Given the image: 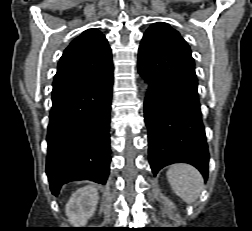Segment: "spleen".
Wrapping results in <instances>:
<instances>
[{
	"mask_svg": "<svg viewBox=\"0 0 252 231\" xmlns=\"http://www.w3.org/2000/svg\"><path fill=\"white\" fill-rule=\"evenodd\" d=\"M172 190L186 203H193L199 197L204 180L200 172L188 164H174L167 173Z\"/></svg>",
	"mask_w": 252,
	"mask_h": 231,
	"instance_id": "spleen-1",
	"label": "spleen"
}]
</instances>
